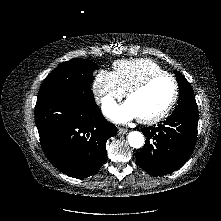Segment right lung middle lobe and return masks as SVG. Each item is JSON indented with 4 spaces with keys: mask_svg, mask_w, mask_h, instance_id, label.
I'll list each match as a JSON object with an SVG mask.
<instances>
[{
    "mask_svg": "<svg viewBox=\"0 0 221 221\" xmlns=\"http://www.w3.org/2000/svg\"><path fill=\"white\" fill-rule=\"evenodd\" d=\"M97 69V65L87 59H72L63 62L46 77L38 95L89 86L93 82V72Z\"/></svg>",
    "mask_w": 221,
    "mask_h": 221,
    "instance_id": "obj_1",
    "label": "right lung middle lobe"
}]
</instances>
